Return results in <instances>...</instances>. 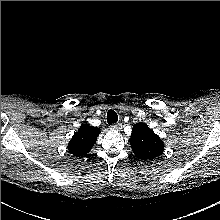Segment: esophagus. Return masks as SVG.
<instances>
[{
	"label": "esophagus",
	"instance_id": "34e87169",
	"mask_svg": "<svg viewBox=\"0 0 220 220\" xmlns=\"http://www.w3.org/2000/svg\"><path fill=\"white\" fill-rule=\"evenodd\" d=\"M111 130L120 131L122 129V124H113L110 126Z\"/></svg>",
	"mask_w": 220,
	"mask_h": 220
}]
</instances>
